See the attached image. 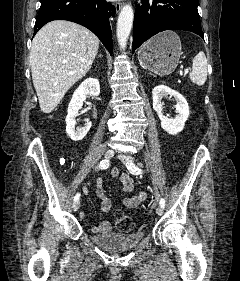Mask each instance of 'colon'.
I'll return each instance as SVG.
<instances>
[{
    "label": "colon",
    "mask_w": 240,
    "mask_h": 281,
    "mask_svg": "<svg viewBox=\"0 0 240 281\" xmlns=\"http://www.w3.org/2000/svg\"><path fill=\"white\" fill-rule=\"evenodd\" d=\"M115 223L119 230L123 232H129L133 229L132 219L123 212H117L115 214Z\"/></svg>",
    "instance_id": "obj_1"
}]
</instances>
